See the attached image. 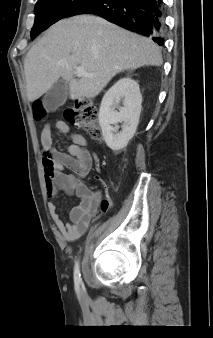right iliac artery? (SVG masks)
<instances>
[{
    "instance_id": "right-iliac-artery-1",
    "label": "right iliac artery",
    "mask_w": 213,
    "mask_h": 338,
    "mask_svg": "<svg viewBox=\"0 0 213 338\" xmlns=\"http://www.w3.org/2000/svg\"><path fill=\"white\" fill-rule=\"evenodd\" d=\"M74 282L76 285H79L81 283V275H80V269H79V262L77 261L75 263L74 268Z\"/></svg>"
}]
</instances>
